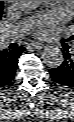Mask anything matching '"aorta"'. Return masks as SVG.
I'll return each instance as SVG.
<instances>
[{
    "label": "aorta",
    "mask_w": 74,
    "mask_h": 122,
    "mask_svg": "<svg viewBox=\"0 0 74 122\" xmlns=\"http://www.w3.org/2000/svg\"><path fill=\"white\" fill-rule=\"evenodd\" d=\"M44 1H15L17 7L23 11L38 8ZM42 62L49 68H57L63 62V54L57 46H47L41 54Z\"/></svg>",
    "instance_id": "762f6f07"
}]
</instances>
